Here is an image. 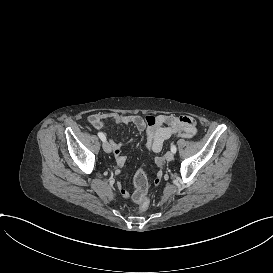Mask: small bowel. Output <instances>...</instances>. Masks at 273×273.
I'll return each mask as SVG.
<instances>
[{
    "label": "small bowel",
    "mask_w": 273,
    "mask_h": 273,
    "mask_svg": "<svg viewBox=\"0 0 273 273\" xmlns=\"http://www.w3.org/2000/svg\"><path fill=\"white\" fill-rule=\"evenodd\" d=\"M107 121H113L121 125H132L137 130L146 133V144L147 148L152 152H160L166 141L174 136L191 138L193 137L196 130V121L190 116H179V115H164L160 114L157 116V123L155 126L148 127L145 124V120L141 115L130 114L121 115L117 113H95L88 117L89 124L96 130L101 131ZM102 134L108 139L112 154L118 164V166H124L126 162V157L122 153L121 148L123 141L114 140L109 138V136L102 132ZM129 139L126 142H131ZM155 163L158 167L164 166V161L161 157L155 158ZM142 170H138L134 177L135 187L138 185H147V179L142 171V177L138 178V175ZM163 179V173L157 172L154 177V186L160 187L161 181ZM115 189L118 190V194L121 195L124 201L130 200V194L125 191L121 183L115 184Z\"/></svg>",
    "instance_id": "c3829d8e"
}]
</instances>
